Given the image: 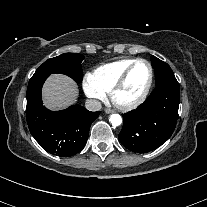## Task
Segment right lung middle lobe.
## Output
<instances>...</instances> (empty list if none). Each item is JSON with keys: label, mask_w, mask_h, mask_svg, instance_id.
Masks as SVG:
<instances>
[{"label": "right lung middle lobe", "mask_w": 207, "mask_h": 207, "mask_svg": "<svg viewBox=\"0 0 207 207\" xmlns=\"http://www.w3.org/2000/svg\"><path fill=\"white\" fill-rule=\"evenodd\" d=\"M83 59L84 56L78 53L61 54L60 56L45 61L32 77L43 74L50 75L53 73H60L68 75L77 83H81L83 72L80 63Z\"/></svg>", "instance_id": "obj_1"}]
</instances>
